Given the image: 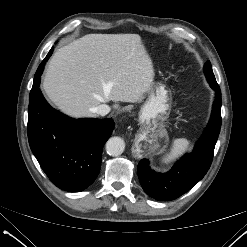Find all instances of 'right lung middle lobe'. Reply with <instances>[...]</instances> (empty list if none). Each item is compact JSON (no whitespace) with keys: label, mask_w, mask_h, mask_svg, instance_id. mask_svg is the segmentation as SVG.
<instances>
[{"label":"right lung middle lobe","mask_w":247,"mask_h":247,"mask_svg":"<svg viewBox=\"0 0 247 247\" xmlns=\"http://www.w3.org/2000/svg\"><path fill=\"white\" fill-rule=\"evenodd\" d=\"M52 51H53V48L49 51V53L46 56V58L39 65V67L37 69V72L35 74V77H34V83H33V87H32V90H31L30 94H33L35 92L36 88L39 87V84H40V76H41V74L43 72L44 64L48 60V58L51 56Z\"/></svg>","instance_id":"dd1d6c3e"}]
</instances>
